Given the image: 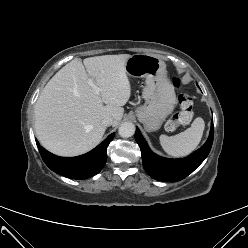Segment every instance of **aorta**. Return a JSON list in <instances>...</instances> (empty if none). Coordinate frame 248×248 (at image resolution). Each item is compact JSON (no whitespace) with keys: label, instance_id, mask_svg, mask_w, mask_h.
Instances as JSON below:
<instances>
[{"label":"aorta","instance_id":"aorta-1","mask_svg":"<svg viewBox=\"0 0 248 248\" xmlns=\"http://www.w3.org/2000/svg\"><path fill=\"white\" fill-rule=\"evenodd\" d=\"M118 133L123 138L131 137L135 133V125L131 122H124L120 125Z\"/></svg>","mask_w":248,"mask_h":248}]
</instances>
